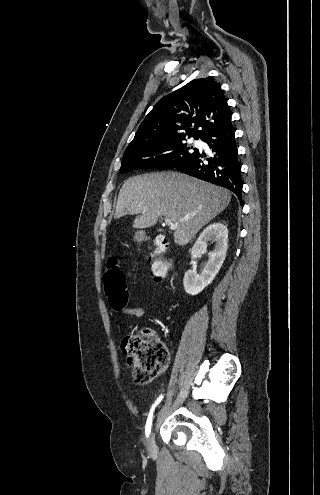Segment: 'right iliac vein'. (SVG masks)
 I'll return each mask as SVG.
<instances>
[{
  "label": "right iliac vein",
  "instance_id": "1",
  "mask_svg": "<svg viewBox=\"0 0 320 495\" xmlns=\"http://www.w3.org/2000/svg\"><path fill=\"white\" fill-rule=\"evenodd\" d=\"M147 448L151 454H154L156 452V444H155V439H154L153 433L151 434V436L148 439Z\"/></svg>",
  "mask_w": 320,
  "mask_h": 495
}]
</instances>
